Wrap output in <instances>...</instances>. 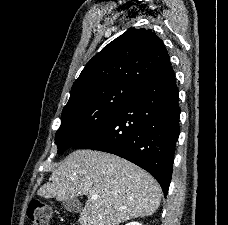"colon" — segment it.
<instances>
[{
  "mask_svg": "<svg viewBox=\"0 0 228 225\" xmlns=\"http://www.w3.org/2000/svg\"><path fill=\"white\" fill-rule=\"evenodd\" d=\"M27 214L32 225H50V208L42 201L32 200L28 206Z\"/></svg>",
  "mask_w": 228,
  "mask_h": 225,
  "instance_id": "5ec220e1",
  "label": "colon"
}]
</instances>
